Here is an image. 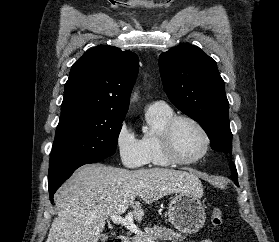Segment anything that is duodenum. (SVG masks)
I'll return each instance as SVG.
<instances>
[{"label": "duodenum", "instance_id": "obj_1", "mask_svg": "<svg viewBox=\"0 0 279 242\" xmlns=\"http://www.w3.org/2000/svg\"><path fill=\"white\" fill-rule=\"evenodd\" d=\"M115 242H130V240L128 237L120 235L116 238Z\"/></svg>", "mask_w": 279, "mask_h": 242}]
</instances>
